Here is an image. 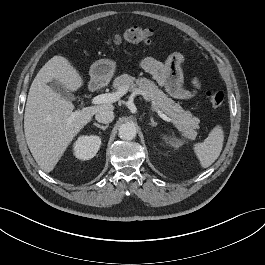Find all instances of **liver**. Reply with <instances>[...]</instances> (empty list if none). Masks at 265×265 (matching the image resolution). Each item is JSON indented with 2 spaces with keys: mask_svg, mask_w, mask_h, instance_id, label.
Wrapping results in <instances>:
<instances>
[{
  "mask_svg": "<svg viewBox=\"0 0 265 265\" xmlns=\"http://www.w3.org/2000/svg\"><path fill=\"white\" fill-rule=\"evenodd\" d=\"M59 81L75 92L84 83L79 71L63 56L52 57L34 78L27 97L24 132L27 145L40 168L51 172L65 150L99 110L111 104L74 110L72 102L54 91L48 83Z\"/></svg>",
  "mask_w": 265,
  "mask_h": 265,
  "instance_id": "liver-1",
  "label": "liver"
}]
</instances>
